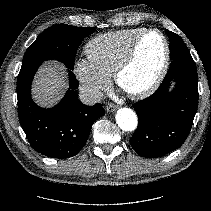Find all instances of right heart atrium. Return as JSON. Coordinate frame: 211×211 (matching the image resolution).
<instances>
[{
  "mask_svg": "<svg viewBox=\"0 0 211 211\" xmlns=\"http://www.w3.org/2000/svg\"><path fill=\"white\" fill-rule=\"evenodd\" d=\"M74 72L80 82L81 91L88 100L99 99L102 91L109 85L110 77L98 70L88 58L78 59Z\"/></svg>",
  "mask_w": 211,
  "mask_h": 211,
  "instance_id": "obj_1",
  "label": "right heart atrium"
}]
</instances>
